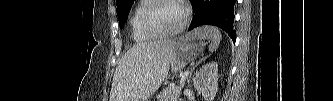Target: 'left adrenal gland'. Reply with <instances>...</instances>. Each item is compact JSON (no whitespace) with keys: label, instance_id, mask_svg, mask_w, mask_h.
Segmentation results:
<instances>
[{"label":"left adrenal gland","instance_id":"a2214340","mask_svg":"<svg viewBox=\"0 0 333 101\" xmlns=\"http://www.w3.org/2000/svg\"><path fill=\"white\" fill-rule=\"evenodd\" d=\"M207 58V56L206 57H203V58H201L194 66H193V68L191 69V71H190V73H189V75H188V77H187V83L189 84V82H190V80H191V76H192V73H193V71H194V69L202 62V61H204L205 59Z\"/></svg>","mask_w":333,"mask_h":101}]
</instances>
